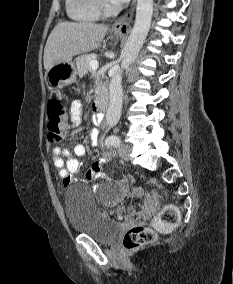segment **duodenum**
I'll list each match as a JSON object with an SVG mask.
<instances>
[{
  "instance_id": "duodenum-1",
  "label": "duodenum",
  "mask_w": 233,
  "mask_h": 284,
  "mask_svg": "<svg viewBox=\"0 0 233 284\" xmlns=\"http://www.w3.org/2000/svg\"><path fill=\"white\" fill-rule=\"evenodd\" d=\"M96 105L101 112H104L108 106L107 95L104 93L99 94L96 99Z\"/></svg>"
}]
</instances>
